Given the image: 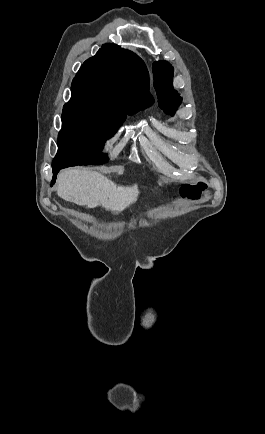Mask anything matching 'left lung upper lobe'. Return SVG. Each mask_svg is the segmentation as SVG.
<instances>
[{
	"mask_svg": "<svg viewBox=\"0 0 265 434\" xmlns=\"http://www.w3.org/2000/svg\"><path fill=\"white\" fill-rule=\"evenodd\" d=\"M173 74V67L167 61L153 63L154 87L159 106L172 116L182 102V98L173 88Z\"/></svg>",
	"mask_w": 265,
	"mask_h": 434,
	"instance_id": "5c2ea615",
	"label": "left lung upper lobe"
}]
</instances>
